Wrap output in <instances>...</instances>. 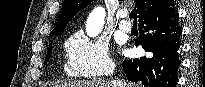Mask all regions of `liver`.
I'll return each mask as SVG.
<instances>
[{
	"mask_svg": "<svg viewBox=\"0 0 205 87\" xmlns=\"http://www.w3.org/2000/svg\"><path fill=\"white\" fill-rule=\"evenodd\" d=\"M55 87H112V84L105 80L98 79V80H81V81L68 82V83L56 85Z\"/></svg>",
	"mask_w": 205,
	"mask_h": 87,
	"instance_id": "liver-1",
	"label": "liver"
}]
</instances>
